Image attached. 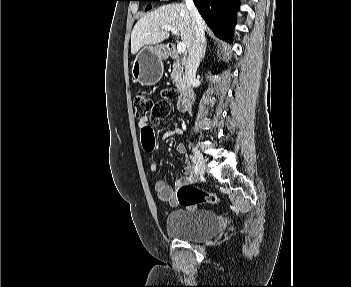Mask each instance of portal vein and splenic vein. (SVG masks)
Returning a JSON list of instances; mask_svg holds the SVG:
<instances>
[{"instance_id":"portal-vein-and-splenic-vein-1","label":"portal vein and splenic vein","mask_w":351,"mask_h":287,"mask_svg":"<svg viewBox=\"0 0 351 287\" xmlns=\"http://www.w3.org/2000/svg\"><path fill=\"white\" fill-rule=\"evenodd\" d=\"M163 29H165L166 31H171L174 35H178V30L176 28H173L171 26H165L163 27ZM185 50H186V44L183 42H179L177 44V52L181 54V53H184Z\"/></svg>"}]
</instances>
